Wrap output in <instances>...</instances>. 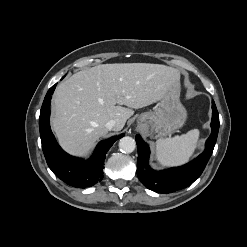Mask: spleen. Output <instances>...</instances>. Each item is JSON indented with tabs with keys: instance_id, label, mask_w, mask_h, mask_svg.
<instances>
[{
	"instance_id": "1",
	"label": "spleen",
	"mask_w": 247,
	"mask_h": 247,
	"mask_svg": "<svg viewBox=\"0 0 247 247\" xmlns=\"http://www.w3.org/2000/svg\"><path fill=\"white\" fill-rule=\"evenodd\" d=\"M199 139V130L192 129L181 136L156 141V158L163 166H179L189 161Z\"/></svg>"
}]
</instances>
